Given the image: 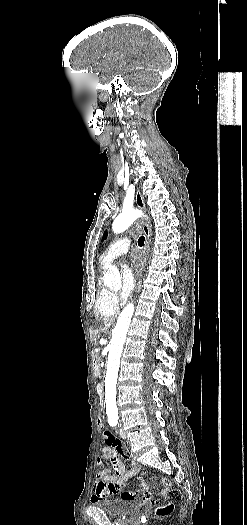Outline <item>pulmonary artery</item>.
Returning a JSON list of instances; mask_svg holds the SVG:
<instances>
[{
    "mask_svg": "<svg viewBox=\"0 0 247 525\" xmlns=\"http://www.w3.org/2000/svg\"><path fill=\"white\" fill-rule=\"evenodd\" d=\"M130 244L131 239L126 236L116 238L108 245L102 257H104L107 261H111L122 253L126 254Z\"/></svg>",
    "mask_w": 247,
    "mask_h": 525,
    "instance_id": "1",
    "label": "pulmonary artery"
}]
</instances>
